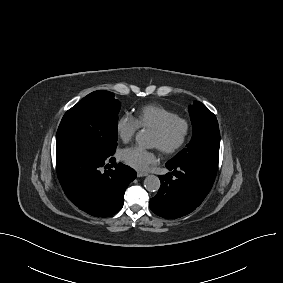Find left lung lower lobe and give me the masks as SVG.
Masks as SVG:
<instances>
[{
    "mask_svg": "<svg viewBox=\"0 0 283 283\" xmlns=\"http://www.w3.org/2000/svg\"><path fill=\"white\" fill-rule=\"evenodd\" d=\"M166 167L171 173L159 176L161 187L158 194L150 199L149 206L163 218H179L202 203L212 188L216 173L198 163L168 162Z\"/></svg>",
    "mask_w": 283,
    "mask_h": 283,
    "instance_id": "0a47b994",
    "label": "left lung lower lobe"
}]
</instances>
